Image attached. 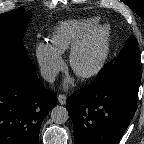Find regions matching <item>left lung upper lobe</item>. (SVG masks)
<instances>
[{"label":"left lung upper lobe","mask_w":144,"mask_h":144,"mask_svg":"<svg viewBox=\"0 0 144 144\" xmlns=\"http://www.w3.org/2000/svg\"><path fill=\"white\" fill-rule=\"evenodd\" d=\"M139 61L140 52L136 38L131 36L117 57L115 63L104 67L101 71V75L107 82L121 76H138Z\"/></svg>","instance_id":"left-lung-upper-lobe-1"}]
</instances>
